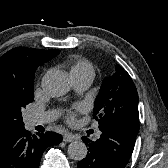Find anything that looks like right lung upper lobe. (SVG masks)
I'll use <instances>...</instances> for the list:
<instances>
[{
    "instance_id": "obj_1",
    "label": "right lung upper lobe",
    "mask_w": 168,
    "mask_h": 168,
    "mask_svg": "<svg viewBox=\"0 0 168 168\" xmlns=\"http://www.w3.org/2000/svg\"><path fill=\"white\" fill-rule=\"evenodd\" d=\"M59 52L16 47L5 53L0 58V105L9 102L19 86L33 82L36 68ZM13 131L0 123V142Z\"/></svg>"
}]
</instances>
